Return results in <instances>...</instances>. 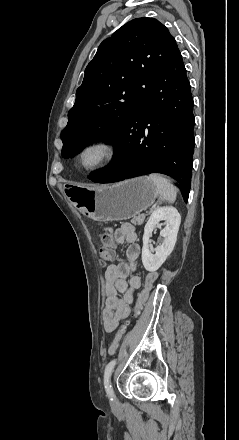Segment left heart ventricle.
<instances>
[{"instance_id": "left-heart-ventricle-1", "label": "left heart ventricle", "mask_w": 239, "mask_h": 440, "mask_svg": "<svg viewBox=\"0 0 239 440\" xmlns=\"http://www.w3.org/2000/svg\"><path fill=\"white\" fill-rule=\"evenodd\" d=\"M102 152L98 149H93L88 151L83 159V165L85 167H91L96 165L101 159Z\"/></svg>"}]
</instances>
